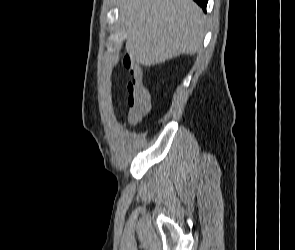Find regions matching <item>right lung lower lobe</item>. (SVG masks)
Here are the masks:
<instances>
[{"mask_svg":"<svg viewBox=\"0 0 295 250\" xmlns=\"http://www.w3.org/2000/svg\"><path fill=\"white\" fill-rule=\"evenodd\" d=\"M197 4H199L203 10H206L208 0H194Z\"/></svg>","mask_w":295,"mask_h":250,"instance_id":"right-lung-lower-lobe-1","label":"right lung lower lobe"}]
</instances>
